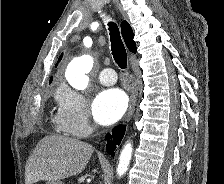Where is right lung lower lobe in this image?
I'll return each mask as SVG.
<instances>
[{"instance_id": "98d812e1", "label": "right lung lower lobe", "mask_w": 224, "mask_h": 184, "mask_svg": "<svg viewBox=\"0 0 224 184\" xmlns=\"http://www.w3.org/2000/svg\"><path fill=\"white\" fill-rule=\"evenodd\" d=\"M125 133V126L119 125L118 127L114 128L111 134H107L105 137V140L108 141L107 143V152L114 156V150L116 148V145L120 144V141L122 140ZM113 138V141L110 140Z\"/></svg>"}]
</instances>
